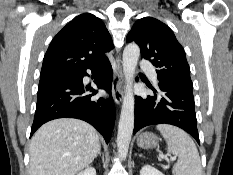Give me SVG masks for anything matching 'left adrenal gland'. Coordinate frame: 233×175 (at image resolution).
I'll use <instances>...</instances> for the list:
<instances>
[{
  "instance_id": "obj_1",
  "label": "left adrenal gland",
  "mask_w": 233,
  "mask_h": 175,
  "mask_svg": "<svg viewBox=\"0 0 233 175\" xmlns=\"http://www.w3.org/2000/svg\"><path fill=\"white\" fill-rule=\"evenodd\" d=\"M139 157H143V155H142V154H139Z\"/></svg>"
}]
</instances>
